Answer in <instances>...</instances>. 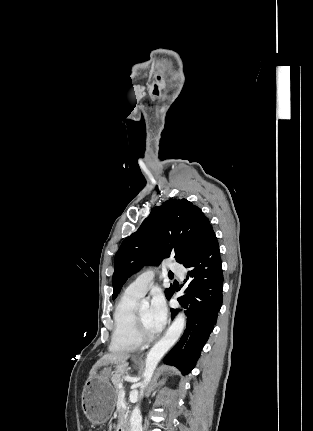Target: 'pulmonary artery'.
<instances>
[{"label": "pulmonary artery", "mask_w": 313, "mask_h": 431, "mask_svg": "<svg viewBox=\"0 0 313 431\" xmlns=\"http://www.w3.org/2000/svg\"><path fill=\"white\" fill-rule=\"evenodd\" d=\"M169 270L177 274L181 279L184 277L185 270L183 266L177 262H171L168 265ZM155 272L154 270H147L141 273L133 282H131L125 289V293L137 297L144 296L153 285Z\"/></svg>", "instance_id": "pulmonary-artery-1"}]
</instances>
